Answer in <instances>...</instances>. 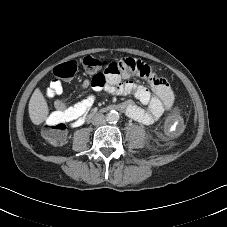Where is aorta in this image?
<instances>
[{"label":"aorta","instance_id":"762f6f07","mask_svg":"<svg viewBox=\"0 0 227 227\" xmlns=\"http://www.w3.org/2000/svg\"><path fill=\"white\" fill-rule=\"evenodd\" d=\"M118 119H119V114L116 111H110L106 116V120L110 123H115L118 121Z\"/></svg>","mask_w":227,"mask_h":227}]
</instances>
